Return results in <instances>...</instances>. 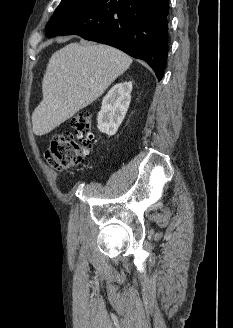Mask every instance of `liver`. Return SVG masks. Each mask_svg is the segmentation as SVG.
<instances>
[{
	"instance_id": "6515ba94",
	"label": "liver",
	"mask_w": 233,
	"mask_h": 328,
	"mask_svg": "<svg viewBox=\"0 0 233 328\" xmlns=\"http://www.w3.org/2000/svg\"><path fill=\"white\" fill-rule=\"evenodd\" d=\"M131 63V57L103 44L71 43L56 51L43 77V99L32 114L34 134H48L95 101Z\"/></svg>"
}]
</instances>
